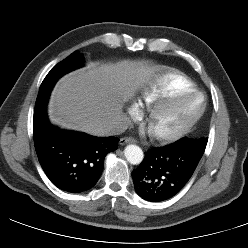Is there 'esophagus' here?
<instances>
[{"label":"esophagus","instance_id":"esophagus-1","mask_svg":"<svg viewBox=\"0 0 248 248\" xmlns=\"http://www.w3.org/2000/svg\"><path fill=\"white\" fill-rule=\"evenodd\" d=\"M136 142L137 141L132 137H123L120 139L119 144L125 145V144H132V143H136Z\"/></svg>","mask_w":248,"mask_h":248}]
</instances>
